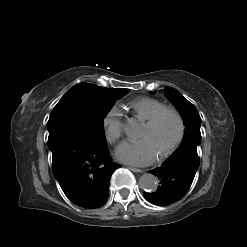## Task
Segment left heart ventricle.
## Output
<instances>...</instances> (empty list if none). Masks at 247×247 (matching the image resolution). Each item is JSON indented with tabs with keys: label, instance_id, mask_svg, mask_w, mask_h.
Segmentation results:
<instances>
[{
	"label": "left heart ventricle",
	"instance_id": "left-heart-ventricle-1",
	"mask_svg": "<svg viewBox=\"0 0 247 247\" xmlns=\"http://www.w3.org/2000/svg\"><path fill=\"white\" fill-rule=\"evenodd\" d=\"M177 133V122L174 117L167 115L153 128L143 126L139 137L149 139L157 153H160L174 139Z\"/></svg>",
	"mask_w": 247,
	"mask_h": 247
}]
</instances>
